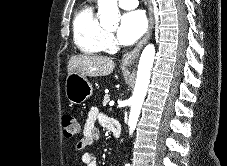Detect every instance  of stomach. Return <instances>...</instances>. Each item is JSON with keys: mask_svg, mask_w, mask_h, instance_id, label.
<instances>
[{"mask_svg": "<svg viewBox=\"0 0 227 166\" xmlns=\"http://www.w3.org/2000/svg\"><path fill=\"white\" fill-rule=\"evenodd\" d=\"M67 99L73 104H81L93 94V87L86 78L78 73H71L65 82Z\"/></svg>", "mask_w": 227, "mask_h": 166, "instance_id": "1", "label": "stomach"}]
</instances>
